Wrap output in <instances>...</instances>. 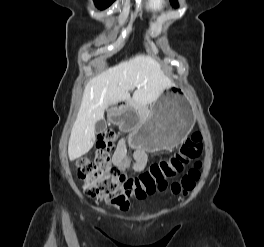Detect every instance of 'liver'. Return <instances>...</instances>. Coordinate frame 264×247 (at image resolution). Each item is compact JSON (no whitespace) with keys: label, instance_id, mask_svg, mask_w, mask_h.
<instances>
[{"label":"liver","instance_id":"liver-1","mask_svg":"<svg viewBox=\"0 0 264 247\" xmlns=\"http://www.w3.org/2000/svg\"><path fill=\"white\" fill-rule=\"evenodd\" d=\"M172 85L159 63L150 56L136 55L128 61L106 69L85 87L82 102L68 143L70 161L86 154L94 145L95 124L104 110L120 101L130 100L146 106L155 102Z\"/></svg>","mask_w":264,"mask_h":247}]
</instances>
